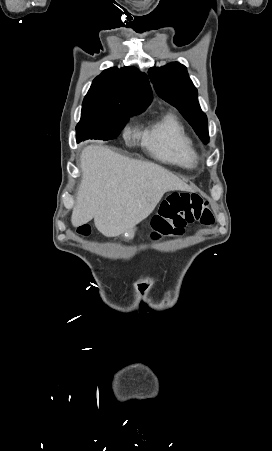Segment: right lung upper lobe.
<instances>
[{
    "mask_svg": "<svg viewBox=\"0 0 272 451\" xmlns=\"http://www.w3.org/2000/svg\"><path fill=\"white\" fill-rule=\"evenodd\" d=\"M152 91L147 76L135 67L104 70L92 83L83 108H147Z\"/></svg>",
    "mask_w": 272,
    "mask_h": 451,
    "instance_id": "right-lung-upper-lobe-1",
    "label": "right lung upper lobe"
}]
</instances>
